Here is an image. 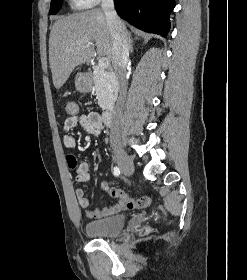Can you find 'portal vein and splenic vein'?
I'll list each match as a JSON object with an SVG mask.
<instances>
[{"instance_id": "18ae733b", "label": "portal vein and splenic vein", "mask_w": 247, "mask_h": 280, "mask_svg": "<svg viewBox=\"0 0 247 280\" xmlns=\"http://www.w3.org/2000/svg\"><path fill=\"white\" fill-rule=\"evenodd\" d=\"M109 65H110L109 59L106 58V57H102V58H100L99 61H98V66H99V68H101V69H106V68L109 67Z\"/></svg>"}]
</instances>
